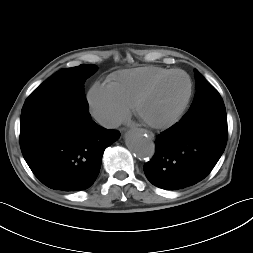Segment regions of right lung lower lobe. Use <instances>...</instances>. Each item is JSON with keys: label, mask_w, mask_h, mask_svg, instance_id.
Listing matches in <instances>:
<instances>
[{"label": "right lung lower lobe", "mask_w": 253, "mask_h": 253, "mask_svg": "<svg viewBox=\"0 0 253 253\" xmlns=\"http://www.w3.org/2000/svg\"><path fill=\"white\" fill-rule=\"evenodd\" d=\"M120 137L97 125L88 109L69 103L20 120V147L35 176L61 191L89 188L96 180L104 150Z\"/></svg>", "instance_id": "1"}]
</instances>
